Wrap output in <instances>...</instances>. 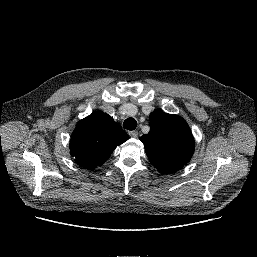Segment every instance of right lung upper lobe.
<instances>
[{
    "label": "right lung upper lobe",
    "instance_id": "obj_1",
    "mask_svg": "<svg viewBox=\"0 0 257 257\" xmlns=\"http://www.w3.org/2000/svg\"><path fill=\"white\" fill-rule=\"evenodd\" d=\"M128 139V134L110 115L93 112L77 123L70 140V154L81 167L94 169Z\"/></svg>",
    "mask_w": 257,
    "mask_h": 257
}]
</instances>
